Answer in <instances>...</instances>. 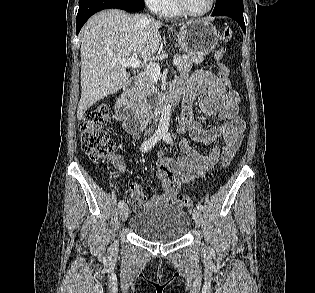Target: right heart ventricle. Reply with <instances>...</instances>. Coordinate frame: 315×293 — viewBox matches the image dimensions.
Listing matches in <instances>:
<instances>
[{
  "label": "right heart ventricle",
  "instance_id": "1",
  "mask_svg": "<svg viewBox=\"0 0 315 293\" xmlns=\"http://www.w3.org/2000/svg\"><path fill=\"white\" fill-rule=\"evenodd\" d=\"M160 14L166 18H176L181 16V13L175 7L174 0H165Z\"/></svg>",
  "mask_w": 315,
  "mask_h": 293
}]
</instances>
